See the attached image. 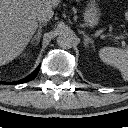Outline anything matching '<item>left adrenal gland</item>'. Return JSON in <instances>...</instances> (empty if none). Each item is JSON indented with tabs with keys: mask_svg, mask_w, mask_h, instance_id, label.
Segmentation results:
<instances>
[{
	"mask_svg": "<svg viewBox=\"0 0 128 128\" xmlns=\"http://www.w3.org/2000/svg\"><path fill=\"white\" fill-rule=\"evenodd\" d=\"M79 32L84 37V45H85V47H88V44H92L93 43V41L91 40V38H89L83 31H79Z\"/></svg>",
	"mask_w": 128,
	"mask_h": 128,
	"instance_id": "1",
	"label": "left adrenal gland"
}]
</instances>
